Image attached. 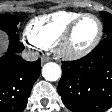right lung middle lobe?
Masks as SVG:
<instances>
[{
  "instance_id": "1",
  "label": "right lung middle lobe",
  "mask_w": 112,
  "mask_h": 112,
  "mask_svg": "<svg viewBox=\"0 0 112 112\" xmlns=\"http://www.w3.org/2000/svg\"><path fill=\"white\" fill-rule=\"evenodd\" d=\"M19 22L20 18L18 16L0 14V29L5 31L9 38L19 39L16 34Z\"/></svg>"
}]
</instances>
